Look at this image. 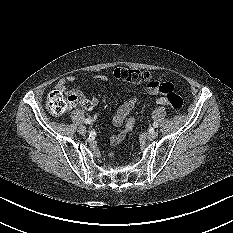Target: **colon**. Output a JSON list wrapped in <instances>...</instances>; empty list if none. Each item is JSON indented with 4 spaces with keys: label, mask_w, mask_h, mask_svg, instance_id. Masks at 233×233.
Segmentation results:
<instances>
[{
    "label": "colon",
    "mask_w": 233,
    "mask_h": 233,
    "mask_svg": "<svg viewBox=\"0 0 233 233\" xmlns=\"http://www.w3.org/2000/svg\"><path fill=\"white\" fill-rule=\"evenodd\" d=\"M114 76L122 82H128L133 85L147 84V86H156L165 94L166 101L175 111L180 112L184 107L183 99L174 92L172 84L153 78L147 71L118 68L115 70ZM75 103V97L64 95L62 92L54 90L49 93L45 107L49 113L61 115Z\"/></svg>",
    "instance_id": "obj_1"
}]
</instances>
